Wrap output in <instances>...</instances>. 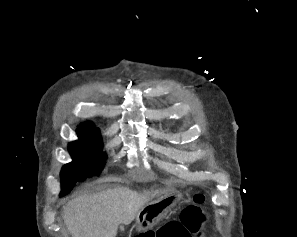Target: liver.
Here are the masks:
<instances>
[{
	"label": "liver",
	"instance_id": "obj_1",
	"mask_svg": "<svg viewBox=\"0 0 297 237\" xmlns=\"http://www.w3.org/2000/svg\"><path fill=\"white\" fill-rule=\"evenodd\" d=\"M126 187L83 194L63 208L64 221L72 237H116L120 224H130L149 197Z\"/></svg>",
	"mask_w": 297,
	"mask_h": 237
}]
</instances>
